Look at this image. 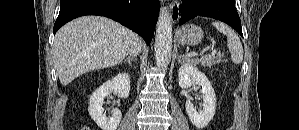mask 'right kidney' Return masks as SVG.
I'll return each instance as SVG.
<instances>
[{"label":"right kidney","instance_id":"ca27d5eb","mask_svg":"<svg viewBox=\"0 0 299 130\" xmlns=\"http://www.w3.org/2000/svg\"><path fill=\"white\" fill-rule=\"evenodd\" d=\"M111 92H115L121 98L129 96L130 77L127 73H120L111 80L106 81L90 96L89 115L101 130H116L121 121L122 114L119 109H114L111 117H107L103 113L104 99Z\"/></svg>","mask_w":299,"mask_h":130}]
</instances>
